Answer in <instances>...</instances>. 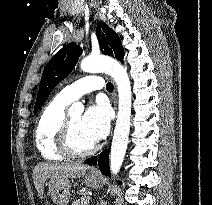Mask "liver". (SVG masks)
<instances>
[{"label": "liver", "instance_id": "6515ba94", "mask_svg": "<svg viewBox=\"0 0 212 205\" xmlns=\"http://www.w3.org/2000/svg\"><path fill=\"white\" fill-rule=\"evenodd\" d=\"M88 168L81 164H38L33 170V177L39 197L43 196L46 179L80 178L85 175Z\"/></svg>", "mask_w": 212, "mask_h": 205}]
</instances>
